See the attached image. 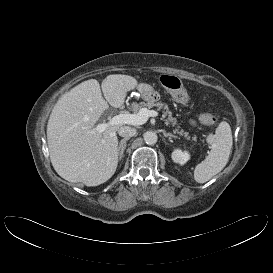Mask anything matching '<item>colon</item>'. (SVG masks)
Masks as SVG:
<instances>
[{"label":"colon","mask_w":273,"mask_h":273,"mask_svg":"<svg viewBox=\"0 0 273 273\" xmlns=\"http://www.w3.org/2000/svg\"><path fill=\"white\" fill-rule=\"evenodd\" d=\"M163 86L168 89L173 97L181 102L186 103L188 101V95L184 89L181 81L173 75H163L161 77ZM200 121L206 125H213L216 122V117L209 113H204L199 117Z\"/></svg>","instance_id":"5ec220e1"}]
</instances>
